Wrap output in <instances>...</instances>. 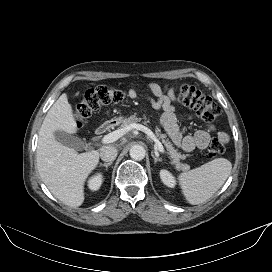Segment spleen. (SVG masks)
<instances>
[{"mask_svg":"<svg viewBox=\"0 0 272 272\" xmlns=\"http://www.w3.org/2000/svg\"><path fill=\"white\" fill-rule=\"evenodd\" d=\"M231 169L229 160L217 158L196 169L182 172L178 180L188 203H205L225 183Z\"/></svg>","mask_w":272,"mask_h":272,"instance_id":"spleen-1","label":"spleen"}]
</instances>
